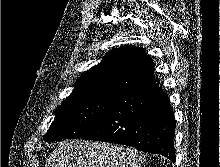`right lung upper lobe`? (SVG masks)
<instances>
[{"mask_svg":"<svg viewBox=\"0 0 220 167\" xmlns=\"http://www.w3.org/2000/svg\"><path fill=\"white\" fill-rule=\"evenodd\" d=\"M154 64L139 47L122 46L108 52L102 62L80 77L67 99L91 96L116 98L154 83Z\"/></svg>","mask_w":220,"mask_h":167,"instance_id":"obj_1","label":"right lung upper lobe"}]
</instances>
